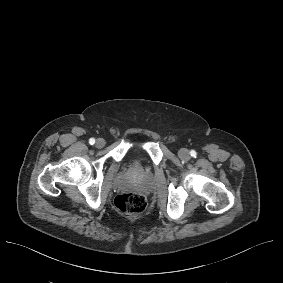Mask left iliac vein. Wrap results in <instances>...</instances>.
I'll use <instances>...</instances> for the list:
<instances>
[{
    "instance_id": "left-iliac-vein-1",
    "label": "left iliac vein",
    "mask_w": 283,
    "mask_h": 283,
    "mask_svg": "<svg viewBox=\"0 0 283 283\" xmlns=\"http://www.w3.org/2000/svg\"><path fill=\"white\" fill-rule=\"evenodd\" d=\"M178 155L183 160H189L190 159L189 151L185 148H181L178 152Z\"/></svg>"
}]
</instances>
